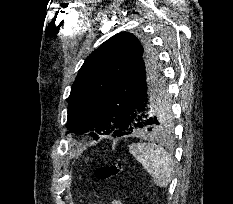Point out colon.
<instances>
[{
    "mask_svg": "<svg viewBox=\"0 0 233 204\" xmlns=\"http://www.w3.org/2000/svg\"><path fill=\"white\" fill-rule=\"evenodd\" d=\"M122 170L123 165L121 162H113L97 168L95 177L100 181H106L120 174Z\"/></svg>",
    "mask_w": 233,
    "mask_h": 204,
    "instance_id": "1",
    "label": "colon"
}]
</instances>
